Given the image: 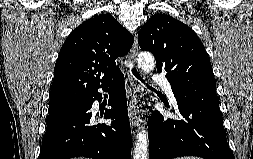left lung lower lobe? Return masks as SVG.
<instances>
[{
  "mask_svg": "<svg viewBox=\"0 0 253 159\" xmlns=\"http://www.w3.org/2000/svg\"><path fill=\"white\" fill-rule=\"evenodd\" d=\"M180 120L153 111L148 125L149 159L198 156L234 159L228 146L218 96L205 90L174 89Z\"/></svg>",
  "mask_w": 253,
  "mask_h": 159,
  "instance_id": "0a47b994",
  "label": "left lung lower lobe"
}]
</instances>
